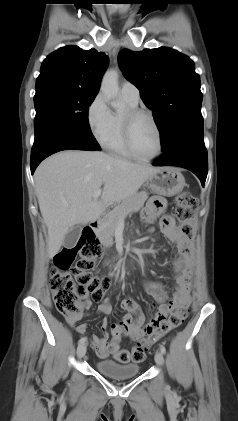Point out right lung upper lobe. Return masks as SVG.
Masks as SVG:
<instances>
[{
  "label": "right lung upper lobe",
  "instance_id": "obj_1",
  "mask_svg": "<svg viewBox=\"0 0 238 421\" xmlns=\"http://www.w3.org/2000/svg\"><path fill=\"white\" fill-rule=\"evenodd\" d=\"M107 65L103 52L65 46L43 61L35 88L58 86L97 94Z\"/></svg>",
  "mask_w": 238,
  "mask_h": 421
}]
</instances>
